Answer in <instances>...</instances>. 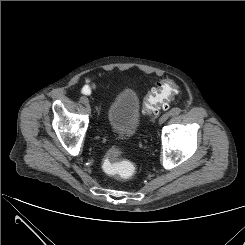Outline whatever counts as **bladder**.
I'll return each mask as SVG.
<instances>
[{"instance_id":"31cf9c89","label":"bladder","mask_w":245,"mask_h":245,"mask_svg":"<svg viewBox=\"0 0 245 245\" xmlns=\"http://www.w3.org/2000/svg\"><path fill=\"white\" fill-rule=\"evenodd\" d=\"M106 119L117 135L131 137L136 134L141 125L140 99L137 92L130 88L120 91L109 104Z\"/></svg>"}]
</instances>
